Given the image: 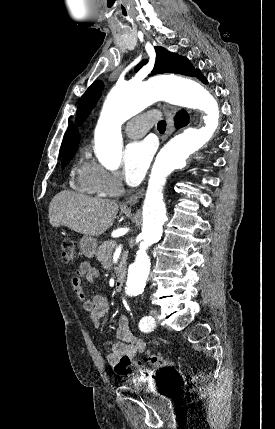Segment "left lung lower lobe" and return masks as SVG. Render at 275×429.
I'll use <instances>...</instances> for the list:
<instances>
[{"label": "left lung lower lobe", "instance_id": "left-lung-lower-lobe-1", "mask_svg": "<svg viewBox=\"0 0 275 429\" xmlns=\"http://www.w3.org/2000/svg\"><path fill=\"white\" fill-rule=\"evenodd\" d=\"M196 77L201 80L204 84H207V80L205 79V77L201 74L200 71L196 72Z\"/></svg>", "mask_w": 275, "mask_h": 429}]
</instances>
